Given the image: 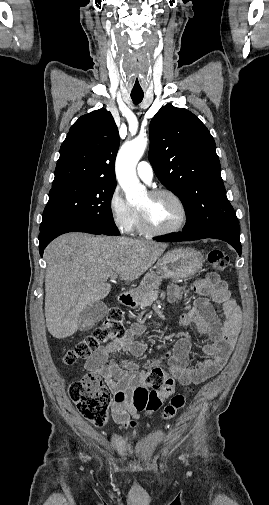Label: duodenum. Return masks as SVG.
<instances>
[{
  "label": "duodenum",
  "instance_id": "obj_1",
  "mask_svg": "<svg viewBox=\"0 0 269 505\" xmlns=\"http://www.w3.org/2000/svg\"><path fill=\"white\" fill-rule=\"evenodd\" d=\"M117 299L118 302L125 307H134L136 305L135 297L130 292L121 293Z\"/></svg>",
  "mask_w": 269,
  "mask_h": 505
}]
</instances>
